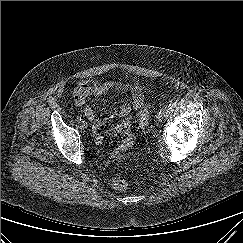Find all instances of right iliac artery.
<instances>
[{
    "mask_svg": "<svg viewBox=\"0 0 243 243\" xmlns=\"http://www.w3.org/2000/svg\"><path fill=\"white\" fill-rule=\"evenodd\" d=\"M81 120H82L81 116H77V121H81Z\"/></svg>",
    "mask_w": 243,
    "mask_h": 243,
    "instance_id": "82829eb1",
    "label": "right iliac artery"
}]
</instances>
